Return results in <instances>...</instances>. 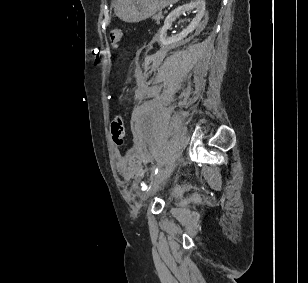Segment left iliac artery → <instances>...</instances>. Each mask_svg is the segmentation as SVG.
Returning a JSON list of instances; mask_svg holds the SVG:
<instances>
[{
	"label": "left iliac artery",
	"instance_id": "1",
	"mask_svg": "<svg viewBox=\"0 0 308 283\" xmlns=\"http://www.w3.org/2000/svg\"><path fill=\"white\" fill-rule=\"evenodd\" d=\"M158 171H159V167L158 166H155L152 170V175L153 176H156L158 174Z\"/></svg>",
	"mask_w": 308,
	"mask_h": 283
}]
</instances>
